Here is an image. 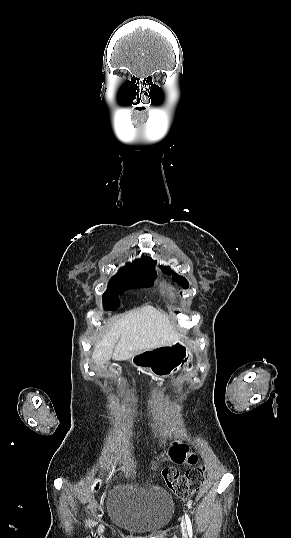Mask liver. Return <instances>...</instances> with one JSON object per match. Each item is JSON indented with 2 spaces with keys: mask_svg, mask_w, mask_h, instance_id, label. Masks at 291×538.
<instances>
[{
  "mask_svg": "<svg viewBox=\"0 0 291 538\" xmlns=\"http://www.w3.org/2000/svg\"><path fill=\"white\" fill-rule=\"evenodd\" d=\"M178 339L179 334L168 316L146 305L115 316L105 336L95 345L92 358L99 365L107 363L112 356L127 360L137 352L171 345Z\"/></svg>",
  "mask_w": 291,
  "mask_h": 538,
  "instance_id": "1",
  "label": "liver"
}]
</instances>
